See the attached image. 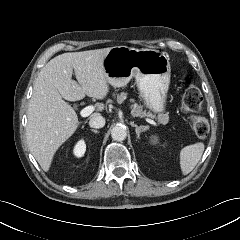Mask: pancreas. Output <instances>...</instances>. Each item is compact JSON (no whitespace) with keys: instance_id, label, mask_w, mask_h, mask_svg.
<instances>
[{"instance_id":"obj_1","label":"pancreas","mask_w":240,"mask_h":240,"mask_svg":"<svg viewBox=\"0 0 240 240\" xmlns=\"http://www.w3.org/2000/svg\"><path fill=\"white\" fill-rule=\"evenodd\" d=\"M126 97H127V93H125V92H122V93L118 94L117 95V102L120 103V104L123 103L124 100L126 99ZM132 113L137 117H151V118L156 117L152 113L146 112L145 110H143L142 106L137 105V104H134L132 106ZM157 119L160 123L165 124V123L168 122L169 117H168L167 114H159Z\"/></svg>"}]
</instances>
